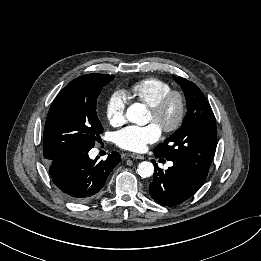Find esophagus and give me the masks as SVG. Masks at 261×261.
<instances>
[{
	"label": "esophagus",
	"mask_w": 261,
	"mask_h": 261,
	"mask_svg": "<svg viewBox=\"0 0 261 261\" xmlns=\"http://www.w3.org/2000/svg\"><path fill=\"white\" fill-rule=\"evenodd\" d=\"M129 156H130L131 158H134V159H140V160L144 159V156H143V155L136 154V153H130Z\"/></svg>",
	"instance_id": "34e87169"
}]
</instances>
